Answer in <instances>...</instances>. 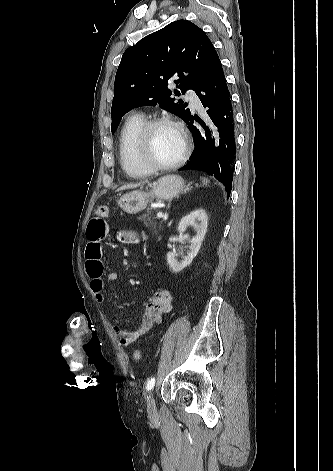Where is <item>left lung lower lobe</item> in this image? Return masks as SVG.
<instances>
[{
	"label": "left lung lower lobe",
	"mask_w": 333,
	"mask_h": 471,
	"mask_svg": "<svg viewBox=\"0 0 333 471\" xmlns=\"http://www.w3.org/2000/svg\"><path fill=\"white\" fill-rule=\"evenodd\" d=\"M195 92L202 105L208 107L211 126L206 127L198 121L204 128V131H200L193 125L195 118L190 115L186 124L192 132L195 151L180 170H200L214 175L224 184L229 197L236 154V124L231 96L217 53Z\"/></svg>",
	"instance_id": "obj_1"
}]
</instances>
